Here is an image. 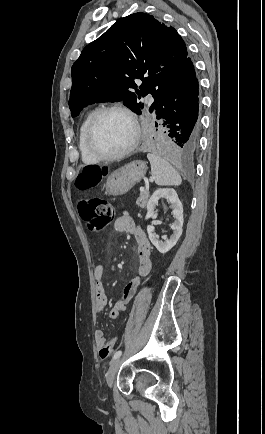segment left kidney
Masks as SVG:
<instances>
[{
    "instance_id": "obj_1",
    "label": "left kidney",
    "mask_w": 265,
    "mask_h": 434,
    "mask_svg": "<svg viewBox=\"0 0 265 434\" xmlns=\"http://www.w3.org/2000/svg\"><path fill=\"white\" fill-rule=\"evenodd\" d=\"M166 198L168 202L171 204L172 212L175 222L171 226V230H174L172 236H170V240H165V242H160L157 240L155 234H153L155 228L154 226H147V232L149 236L150 242H152L153 246L157 248L158 252L161 254H166L169 252L173 246H176L183 228V208L182 204L173 188H159L154 192L153 196H151L148 204H147V214L145 220H149V218H154L155 208L158 206V202Z\"/></svg>"
}]
</instances>
